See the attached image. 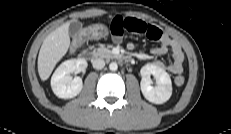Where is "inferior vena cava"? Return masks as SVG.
Wrapping results in <instances>:
<instances>
[{
  "label": "inferior vena cava",
  "instance_id": "602c4592",
  "mask_svg": "<svg viewBox=\"0 0 231 134\" xmlns=\"http://www.w3.org/2000/svg\"><path fill=\"white\" fill-rule=\"evenodd\" d=\"M92 65L95 69H102L105 66V61L101 58H96L92 61Z\"/></svg>",
  "mask_w": 231,
  "mask_h": 134
}]
</instances>
